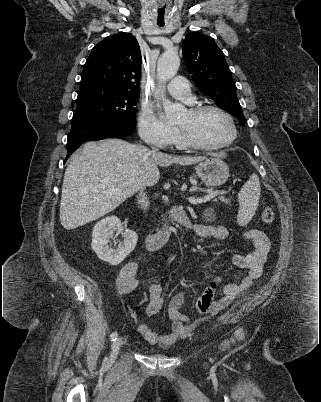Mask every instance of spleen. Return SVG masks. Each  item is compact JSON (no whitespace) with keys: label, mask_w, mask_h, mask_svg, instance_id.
<instances>
[{"label":"spleen","mask_w":321,"mask_h":402,"mask_svg":"<svg viewBox=\"0 0 321 402\" xmlns=\"http://www.w3.org/2000/svg\"><path fill=\"white\" fill-rule=\"evenodd\" d=\"M261 186L257 174L253 173L243 185L239 194V211L237 222L240 226L247 225L254 216L260 199Z\"/></svg>","instance_id":"spleen-1"}]
</instances>
